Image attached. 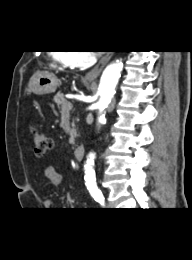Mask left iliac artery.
Returning <instances> with one entry per match:
<instances>
[{"mask_svg": "<svg viewBox=\"0 0 192 260\" xmlns=\"http://www.w3.org/2000/svg\"><path fill=\"white\" fill-rule=\"evenodd\" d=\"M91 196L100 204H104V196L97 185L88 187Z\"/></svg>", "mask_w": 192, "mask_h": 260, "instance_id": "1", "label": "left iliac artery"}]
</instances>
